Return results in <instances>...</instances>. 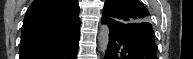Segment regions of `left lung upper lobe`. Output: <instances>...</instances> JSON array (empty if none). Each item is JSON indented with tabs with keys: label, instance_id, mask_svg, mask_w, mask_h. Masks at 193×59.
Listing matches in <instances>:
<instances>
[{
	"label": "left lung upper lobe",
	"instance_id": "1",
	"mask_svg": "<svg viewBox=\"0 0 193 59\" xmlns=\"http://www.w3.org/2000/svg\"><path fill=\"white\" fill-rule=\"evenodd\" d=\"M103 15L130 28L137 27L138 24L149 23V12L139 0H107Z\"/></svg>",
	"mask_w": 193,
	"mask_h": 59
}]
</instances>
